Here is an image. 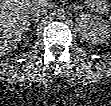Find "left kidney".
I'll return each instance as SVG.
<instances>
[{
	"label": "left kidney",
	"mask_w": 111,
	"mask_h": 106,
	"mask_svg": "<svg viewBox=\"0 0 111 106\" xmlns=\"http://www.w3.org/2000/svg\"><path fill=\"white\" fill-rule=\"evenodd\" d=\"M76 26L81 38L92 45L103 43L110 35L109 22L99 16L81 14L76 18Z\"/></svg>",
	"instance_id": "5707ae66"
}]
</instances>
